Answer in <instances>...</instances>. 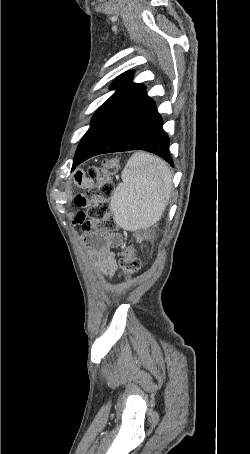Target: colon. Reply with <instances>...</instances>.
I'll use <instances>...</instances> for the list:
<instances>
[{"label":"colon","mask_w":250,"mask_h":454,"mask_svg":"<svg viewBox=\"0 0 250 454\" xmlns=\"http://www.w3.org/2000/svg\"><path fill=\"white\" fill-rule=\"evenodd\" d=\"M118 168L119 161L116 158H110L105 160L102 166H91L86 171L87 177L96 182L88 193L93 202L88 210V217L91 219L90 230L93 232L112 230L115 226L110 207V199L114 193L111 177L116 174ZM140 266L135 248L133 246L123 247L119 253L121 274L125 277L132 276L139 271Z\"/></svg>","instance_id":"5ec220e1"}]
</instances>
